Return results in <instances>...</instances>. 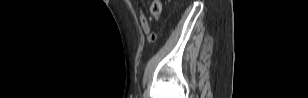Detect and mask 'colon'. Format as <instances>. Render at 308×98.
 Listing matches in <instances>:
<instances>
[{"instance_id": "obj_1", "label": "colon", "mask_w": 308, "mask_h": 98, "mask_svg": "<svg viewBox=\"0 0 308 98\" xmlns=\"http://www.w3.org/2000/svg\"><path fill=\"white\" fill-rule=\"evenodd\" d=\"M151 13L154 15V16H157L161 13V4L158 2V1H154L151 5ZM156 38V35L154 33H150L148 35V39L150 41H154Z\"/></svg>"}]
</instances>
